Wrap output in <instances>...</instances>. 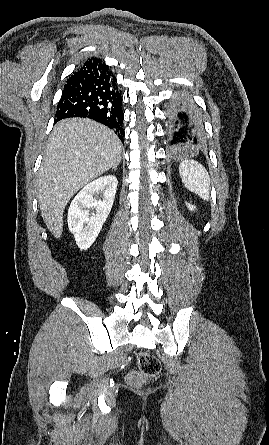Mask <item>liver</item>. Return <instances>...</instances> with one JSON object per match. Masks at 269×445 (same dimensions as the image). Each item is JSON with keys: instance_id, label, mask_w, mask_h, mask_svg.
Instances as JSON below:
<instances>
[{"instance_id": "liver-1", "label": "liver", "mask_w": 269, "mask_h": 445, "mask_svg": "<svg viewBox=\"0 0 269 445\" xmlns=\"http://www.w3.org/2000/svg\"><path fill=\"white\" fill-rule=\"evenodd\" d=\"M121 142L113 131L90 119L70 118L53 129L37 179L41 215L60 238L63 212L84 185L117 167Z\"/></svg>"}]
</instances>
